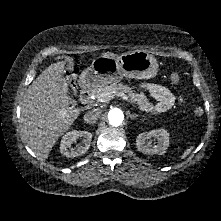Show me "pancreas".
<instances>
[{"label": "pancreas", "mask_w": 221, "mask_h": 221, "mask_svg": "<svg viewBox=\"0 0 221 221\" xmlns=\"http://www.w3.org/2000/svg\"><path fill=\"white\" fill-rule=\"evenodd\" d=\"M121 92L127 94L130 101L135 103L140 110L154 114V105L147 100V97L143 93L136 94L133 88L129 87L128 85H124L122 83H112L110 85L100 87L94 94L96 99H98L104 93H110L111 95L115 96Z\"/></svg>", "instance_id": "obj_1"}]
</instances>
